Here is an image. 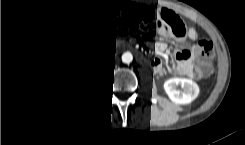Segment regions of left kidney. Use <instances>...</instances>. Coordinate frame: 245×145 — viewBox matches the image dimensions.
<instances>
[{
  "instance_id": "1",
  "label": "left kidney",
  "mask_w": 245,
  "mask_h": 145,
  "mask_svg": "<svg viewBox=\"0 0 245 145\" xmlns=\"http://www.w3.org/2000/svg\"><path fill=\"white\" fill-rule=\"evenodd\" d=\"M164 89L170 99L178 104H189L196 99L199 94L198 85L191 80L183 78L167 80L164 83Z\"/></svg>"
}]
</instances>
